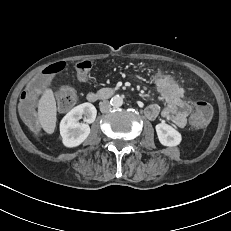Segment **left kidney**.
Here are the masks:
<instances>
[{
	"label": "left kidney",
	"mask_w": 231,
	"mask_h": 231,
	"mask_svg": "<svg viewBox=\"0 0 231 231\" xmlns=\"http://www.w3.org/2000/svg\"><path fill=\"white\" fill-rule=\"evenodd\" d=\"M155 128L158 139L162 145L174 147L181 143V134L172 126L162 122L157 124Z\"/></svg>",
	"instance_id": "1"
}]
</instances>
